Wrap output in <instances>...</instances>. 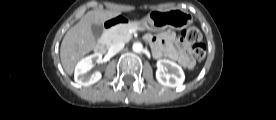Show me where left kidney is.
Returning <instances> with one entry per match:
<instances>
[{
	"label": "left kidney",
	"mask_w": 276,
	"mask_h": 120,
	"mask_svg": "<svg viewBox=\"0 0 276 120\" xmlns=\"http://www.w3.org/2000/svg\"><path fill=\"white\" fill-rule=\"evenodd\" d=\"M170 70L171 74H166L165 70ZM156 79L163 86L178 87L185 80L182 68L168 59H160L157 61Z\"/></svg>",
	"instance_id": "obj_1"
}]
</instances>
